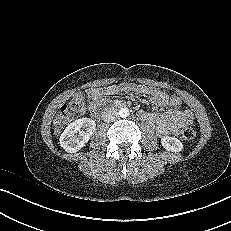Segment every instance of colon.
<instances>
[{"label": "colon", "instance_id": "obj_1", "mask_svg": "<svg viewBox=\"0 0 231 231\" xmlns=\"http://www.w3.org/2000/svg\"><path fill=\"white\" fill-rule=\"evenodd\" d=\"M169 103L172 107L180 108L182 101L180 97L172 95L169 97ZM85 109V100L82 95H75L67 105L62 106L54 119V128L56 132H60L66 123L74 114H80ZM196 136V131L191 126H186L182 130V137L186 141H192Z\"/></svg>", "mask_w": 231, "mask_h": 231}]
</instances>
